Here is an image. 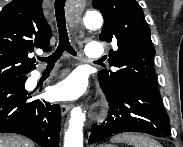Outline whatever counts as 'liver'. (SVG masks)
I'll return each instance as SVG.
<instances>
[{
	"instance_id": "6515ba94",
	"label": "liver",
	"mask_w": 183,
	"mask_h": 147,
	"mask_svg": "<svg viewBox=\"0 0 183 147\" xmlns=\"http://www.w3.org/2000/svg\"><path fill=\"white\" fill-rule=\"evenodd\" d=\"M0 147H34V144L21 136L5 134L0 135Z\"/></svg>"
}]
</instances>
